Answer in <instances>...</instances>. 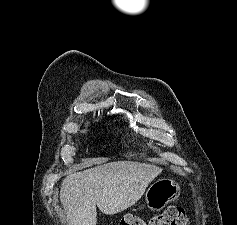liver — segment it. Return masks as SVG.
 <instances>
[{
	"instance_id": "liver-1",
	"label": "liver",
	"mask_w": 237,
	"mask_h": 225,
	"mask_svg": "<svg viewBox=\"0 0 237 225\" xmlns=\"http://www.w3.org/2000/svg\"><path fill=\"white\" fill-rule=\"evenodd\" d=\"M161 172L154 165L121 161L68 175L60 190L68 225H96V206L106 215L126 210Z\"/></svg>"
}]
</instances>
